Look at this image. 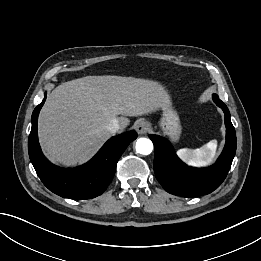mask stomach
I'll return each mask as SVG.
<instances>
[{
  "label": "stomach",
  "mask_w": 261,
  "mask_h": 261,
  "mask_svg": "<svg viewBox=\"0 0 261 261\" xmlns=\"http://www.w3.org/2000/svg\"><path fill=\"white\" fill-rule=\"evenodd\" d=\"M160 128L173 142H177L181 136L182 127L177 112L170 106L163 108V116L160 120Z\"/></svg>",
  "instance_id": "stomach-1"
}]
</instances>
